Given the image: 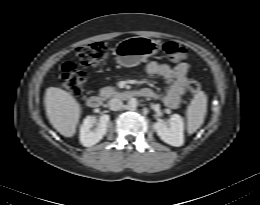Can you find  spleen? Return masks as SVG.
<instances>
[{"instance_id": "obj_1", "label": "spleen", "mask_w": 260, "mask_h": 205, "mask_svg": "<svg viewBox=\"0 0 260 205\" xmlns=\"http://www.w3.org/2000/svg\"><path fill=\"white\" fill-rule=\"evenodd\" d=\"M207 112V96L203 91H198L187 108V131L189 134L196 132L203 124Z\"/></svg>"}]
</instances>
